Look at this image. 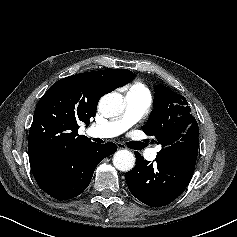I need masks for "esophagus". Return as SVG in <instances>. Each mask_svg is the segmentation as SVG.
<instances>
[{"mask_svg":"<svg viewBox=\"0 0 237 237\" xmlns=\"http://www.w3.org/2000/svg\"><path fill=\"white\" fill-rule=\"evenodd\" d=\"M117 148H118L119 150H121V149H127L126 145L123 144V143H121V142H118V143H117Z\"/></svg>","mask_w":237,"mask_h":237,"instance_id":"obj_1","label":"esophagus"}]
</instances>
